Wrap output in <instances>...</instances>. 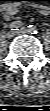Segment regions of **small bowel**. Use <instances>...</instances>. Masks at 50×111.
Returning a JSON list of instances; mask_svg holds the SVG:
<instances>
[{"label": "small bowel", "instance_id": "small-bowel-1", "mask_svg": "<svg viewBox=\"0 0 50 111\" xmlns=\"http://www.w3.org/2000/svg\"><path fill=\"white\" fill-rule=\"evenodd\" d=\"M16 13H17V9H15V8H8L5 11V13H4V19L7 20V21L10 20V19H12L16 15ZM39 14L45 16V15H48V11L40 10Z\"/></svg>", "mask_w": 50, "mask_h": 111}]
</instances>
